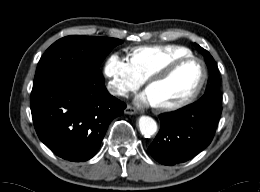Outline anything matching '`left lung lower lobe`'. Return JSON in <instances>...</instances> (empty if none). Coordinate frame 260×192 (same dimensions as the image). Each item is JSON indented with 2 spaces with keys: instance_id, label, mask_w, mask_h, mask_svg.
<instances>
[{
  "instance_id": "left-lung-lower-lobe-1",
  "label": "left lung lower lobe",
  "mask_w": 260,
  "mask_h": 192,
  "mask_svg": "<svg viewBox=\"0 0 260 192\" xmlns=\"http://www.w3.org/2000/svg\"><path fill=\"white\" fill-rule=\"evenodd\" d=\"M221 112L219 98L205 97L182 112L160 116V131L148 151L164 165L189 160L210 144Z\"/></svg>"
}]
</instances>
